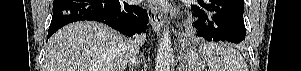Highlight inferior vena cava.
<instances>
[{"label":"inferior vena cava","mask_w":301,"mask_h":71,"mask_svg":"<svg viewBox=\"0 0 301 71\" xmlns=\"http://www.w3.org/2000/svg\"><path fill=\"white\" fill-rule=\"evenodd\" d=\"M146 40V35L145 34H136L133 37V40H131V44L133 47V54L131 58L129 59V64L130 65H135L136 64V54L139 51V45L144 44Z\"/></svg>","instance_id":"1"}]
</instances>
